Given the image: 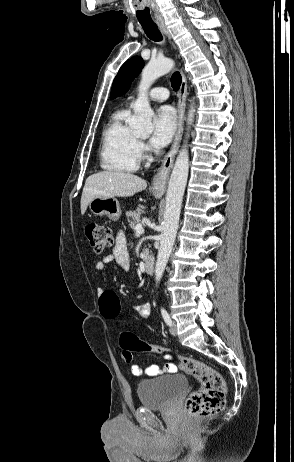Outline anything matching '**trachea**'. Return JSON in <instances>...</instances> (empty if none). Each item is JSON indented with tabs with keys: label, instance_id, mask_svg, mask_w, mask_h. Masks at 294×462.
Returning <instances> with one entry per match:
<instances>
[{
	"label": "trachea",
	"instance_id": "obj_1",
	"mask_svg": "<svg viewBox=\"0 0 294 462\" xmlns=\"http://www.w3.org/2000/svg\"><path fill=\"white\" fill-rule=\"evenodd\" d=\"M146 35L153 41H162L163 37L154 22H140ZM181 75L178 71L174 72L171 77V86L177 91L181 85Z\"/></svg>",
	"mask_w": 294,
	"mask_h": 462
}]
</instances>
